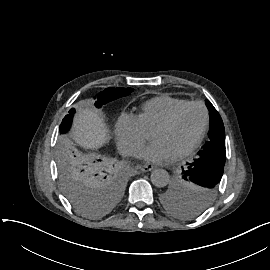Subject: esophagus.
Instances as JSON below:
<instances>
[{"instance_id": "obj_1", "label": "esophagus", "mask_w": 270, "mask_h": 270, "mask_svg": "<svg viewBox=\"0 0 270 270\" xmlns=\"http://www.w3.org/2000/svg\"><path fill=\"white\" fill-rule=\"evenodd\" d=\"M140 169L143 172H149V171L154 169V166H153V164L148 163L146 165H143Z\"/></svg>"}]
</instances>
